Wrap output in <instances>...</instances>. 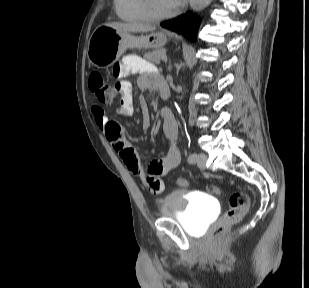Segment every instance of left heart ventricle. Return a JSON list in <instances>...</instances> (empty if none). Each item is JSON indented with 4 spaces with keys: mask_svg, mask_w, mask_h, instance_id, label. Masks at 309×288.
<instances>
[{
    "mask_svg": "<svg viewBox=\"0 0 309 288\" xmlns=\"http://www.w3.org/2000/svg\"><path fill=\"white\" fill-rule=\"evenodd\" d=\"M156 7L161 12H168L173 9L172 5L169 3L168 0H155Z\"/></svg>",
    "mask_w": 309,
    "mask_h": 288,
    "instance_id": "left-heart-ventricle-1",
    "label": "left heart ventricle"
}]
</instances>
